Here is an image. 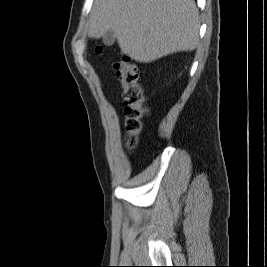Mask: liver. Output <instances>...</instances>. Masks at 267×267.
Listing matches in <instances>:
<instances>
[{
    "label": "liver",
    "instance_id": "liver-1",
    "mask_svg": "<svg viewBox=\"0 0 267 267\" xmlns=\"http://www.w3.org/2000/svg\"><path fill=\"white\" fill-rule=\"evenodd\" d=\"M199 12L193 0H95L88 36L112 30L121 50L148 63L199 44Z\"/></svg>",
    "mask_w": 267,
    "mask_h": 267
}]
</instances>
